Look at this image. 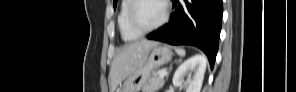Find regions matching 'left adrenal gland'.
I'll return each mask as SVG.
<instances>
[{
	"instance_id": "1",
	"label": "left adrenal gland",
	"mask_w": 296,
	"mask_h": 92,
	"mask_svg": "<svg viewBox=\"0 0 296 92\" xmlns=\"http://www.w3.org/2000/svg\"><path fill=\"white\" fill-rule=\"evenodd\" d=\"M179 60H177V61H175V62H178ZM171 69H172V64L170 65V67H169V71H168V73L166 74V80H167V78H168V76H169V72L171 71Z\"/></svg>"
}]
</instances>
